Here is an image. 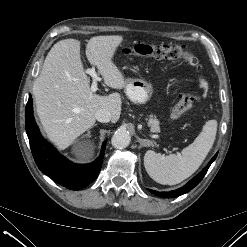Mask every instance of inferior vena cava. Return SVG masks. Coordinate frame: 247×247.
<instances>
[{"instance_id":"1","label":"inferior vena cava","mask_w":247,"mask_h":247,"mask_svg":"<svg viewBox=\"0 0 247 247\" xmlns=\"http://www.w3.org/2000/svg\"><path fill=\"white\" fill-rule=\"evenodd\" d=\"M95 118L102 123L111 121L112 114L106 109H99L95 112Z\"/></svg>"}]
</instances>
